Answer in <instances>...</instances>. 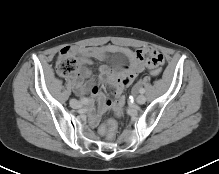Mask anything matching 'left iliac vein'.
Masks as SVG:
<instances>
[{
  "label": "left iliac vein",
  "instance_id": "left-iliac-vein-1",
  "mask_svg": "<svg viewBox=\"0 0 219 174\" xmlns=\"http://www.w3.org/2000/svg\"><path fill=\"white\" fill-rule=\"evenodd\" d=\"M146 102V97L144 96V95H138L137 97H136V103L137 104H144Z\"/></svg>",
  "mask_w": 219,
  "mask_h": 174
}]
</instances>
